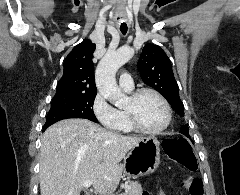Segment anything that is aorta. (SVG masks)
<instances>
[{
    "mask_svg": "<svg viewBox=\"0 0 240 195\" xmlns=\"http://www.w3.org/2000/svg\"><path fill=\"white\" fill-rule=\"evenodd\" d=\"M133 56L132 48H119L117 52H107L96 68L95 82L98 92L102 94L103 98L116 103V105L120 103V99L124 98V94L116 82V72Z\"/></svg>",
    "mask_w": 240,
    "mask_h": 195,
    "instance_id": "obj_1",
    "label": "aorta"
}]
</instances>
